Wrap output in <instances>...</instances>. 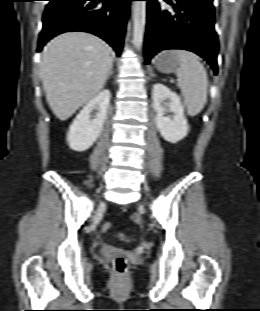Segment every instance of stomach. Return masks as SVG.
Wrapping results in <instances>:
<instances>
[{"label":"stomach","instance_id":"obj_1","mask_svg":"<svg viewBox=\"0 0 260 311\" xmlns=\"http://www.w3.org/2000/svg\"><path fill=\"white\" fill-rule=\"evenodd\" d=\"M179 66V61L172 51H165L158 55L155 61V67L162 73H172Z\"/></svg>","mask_w":260,"mask_h":311}]
</instances>
